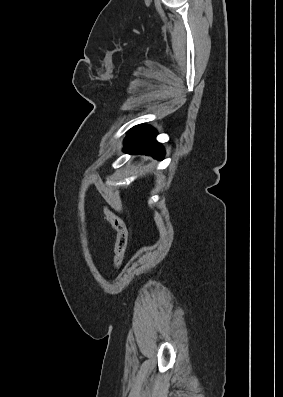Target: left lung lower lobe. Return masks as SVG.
<instances>
[{"mask_svg":"<svg viewBox=\"0 0 283 397\" xmlns=\"http://www.w3.org/2000/svg\"><path fill=\"white\" fill-rule=\"evenodd\" d=\"M156 130L144 124L134 126L124 139V151L129 153L151 155L163 159L165 151L155 139Z\"/></svg>","mask_w":283,"mask_h":397,"instance_id":"1","label":"left lung lower lobe"}]
</instances>
